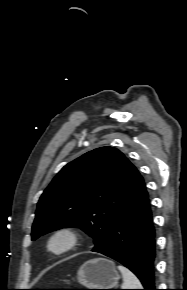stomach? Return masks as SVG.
<instances>
[{
  "label": "stomach",
  "instance_id": "obj_1",
  "mask_svg": "<svg viewBox=\"0 0 187 290\" xmlns=\"http://www.w3.org/2000/svg\"><path fill=\"white\" fill-rule=\"evenodd\" d=\"M119 279L115 263L105 258L88 260L77 272L78 282L87 289H114Z\"/></svg>",
  "mask_w": 187,
  "mask_h": 290
}]
</instances>
